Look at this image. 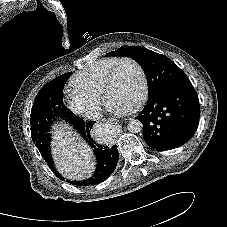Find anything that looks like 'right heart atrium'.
<instances>
[{"mask_svg":"<svg viewBox=\"0 0 227 227\" xmlns=\"http://www.w3.org/2000/svg\"><path fill=\"white\" fill-rule=\"evenodd\" d=\"M66 104L74 113L87 118H94L100 109L101 98L74 90L67 93Z\"/></svg>","mask_w":227,"mask_h":227,"instance_id":"d8ad5b80","label":"right heart atrium"}]
</instances>
